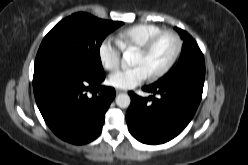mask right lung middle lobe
<instances>
[{"label": "right lung middle lobe", "instance_id": "dd1d6c3e", "mask_svg": "<svg viewBox=\"0 0 248 165\" xmlns=\"http://www.w3.org/2000/svg\"><path fill=\"white\" fill-rule=\"evenodd\" d=\"M123 22L96 18L88 13H75L61 20L43 39L35 67L55 61L74 60L89 73L102 75L100 46L104 38Z\"/></svg>", "mask_w": 248, "mask_h": 165}]
</instances>
